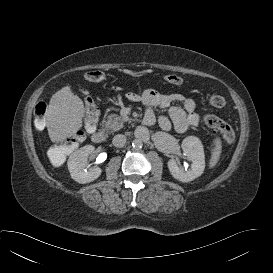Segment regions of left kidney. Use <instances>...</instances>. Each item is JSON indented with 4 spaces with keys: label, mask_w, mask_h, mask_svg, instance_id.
I'll list each match as a JSON object with an SVG mask.
<instances>
[{
    "label": "left kidney",
    "mask_w": 273,
    "mask_h": 273,
    "mask_svg": "<svg viewBox=\"0 0 273 273\" xmlns=\"http://www.w3.org/2000/svg\"><path fill=\"white\" fill-rule=\"evenodd\" d=\"M181 148L187 158L191 161V167L184 170L178 166L175 159H170L167 163L171 175L181 181L190 182L202 175L205 169V154L202 142L195 136L186 137L181 144Z\"/></svg>",
    "instance_id": "5707ae66"
}]
</instances>
